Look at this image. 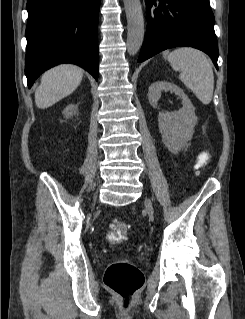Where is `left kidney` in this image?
<instances>
[{
  "label": "left kidney",
  "mask_w": 245,
  "mask_h": 319,
  "mask_svg": "<svg viewBox=\"0 0 245 319\" xmlns=\"http://www.w3.org/2000/svg\"><path fill=\"white\" fill-rule=\"evenodd\" d=\"M162 91H170L182 99L183 107L175 112H159L158 123L162 141L169 151L179 152L188 147L197 124L195 108L184 91L168 81H157L149 87V103L156 108Z\"/></svg>",
  "instance_id": "5707ae66"
}]
</instances>
